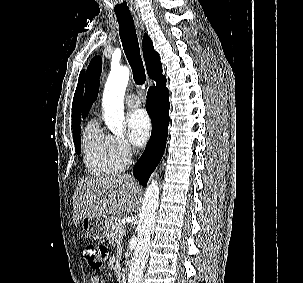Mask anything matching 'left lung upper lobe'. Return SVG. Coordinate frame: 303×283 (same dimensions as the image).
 <instances>
[{
	"mask_svg": "<svg viewBox=\"0 0 303 283\" xmlns=\"http://www.w3.org/2000/svg\"><path fill=\"white\" fill-rule=\"evenodd\" d=\"M102 59L99 56H95L88 67L89 77L87 80L86 95L83 103V118L88 114L92 103L97 98L99 88V77L101 74Z\"/></svg>",
	"mask_w": 303,
	"mask_h": 283,
	"instance_id": "1",
	"label": "left lung upper lobe"
}]
</instances>
